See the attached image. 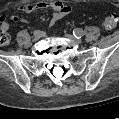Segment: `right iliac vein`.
Instances as JSON below:
<instances>
[{
    "label": "right iliac vein",
    "mask_w": 119,
    "mask_h": 119,
    "mask_svg": "<svg viewBox=\"0 0 119 119\" xmlns=\"http://www.w3.org/2000/svg\"><path fill=\"white\" fill-rule=\"evenodd\" d=\"M41 36H42V34H40L39 36H36V35L34 34L33 40H34V41H38V40L41 38Z\"/></svg>",
    "instance_id": "63e3f726"
}]
</instances>
